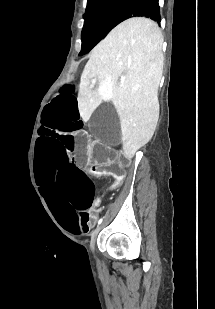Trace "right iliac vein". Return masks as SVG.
<instances>
[{"instance_id": "1", "label": "right iliac vein", "mask_w": 215, "mask_h": 309, "mask_svg": "<svg viewBox=\"0 0 215 309\" xmlns=\"http://www.w3.org/2000/svg\"><path fill=\"white\" fill-rule=\"evenodd\" d=\"M102 228V225H99L96 229H94V231L92 232V235H91V241H90V248L91 250H94L95 249V242H96V238H97V235L100 231V229Z\"/></svg>"}]
</instances>
